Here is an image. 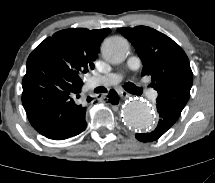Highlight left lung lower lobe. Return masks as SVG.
Here are the masks:
<instances>
[{"label":"left lung lower lobe","instance_id":"left-lung-lower-lobe-1","mask_svg":"<svg viewBox=\"0 0 215 183\" xmlns=\"http://www.w3.org/2000/svg\"><path fill=\"white\" fill-rule=\"evenodd\" d=\"M157 111L160 115L157 128L148 134H136V138L142 142H150L162 136L179 117L175 116L169 109L161 104H157Z\"/></svg>","mask_w":215,"mask_h":183}]
</instances>
